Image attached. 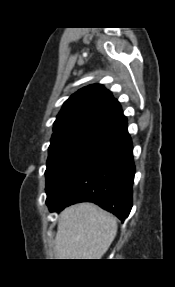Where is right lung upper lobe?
Wrapping results in <instances>:
<instances>
[{"label": "right lung upper lobe", "mask_w": 175, "mask_h": 287, "mask_svg": "<svg viewBox=\"0 0 175 287\" xmlns=\"http://www.w3.org/2000/svg\"><path fill=\"white\" fill-rule=\"evenodd\" d=\"M127 121L119 102L101 84L83 87L67 99L54 122V131L102 124L117 127Z\"/></svg>", "instance_id": "1"}]
</instances>
